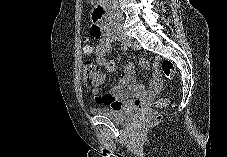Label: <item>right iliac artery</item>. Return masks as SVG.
<instances>
[{"mask_svg":"<svg viewBox=\"0 0 227 157\" xmlns=\"http://www.w3.org/2000/svg\"><path fill=\"white\" fill-rule=\"evenodd\" d=\"M113 34V33H112ZM113 41H118V36H116L115 34L113 35ZM121 42V41H120ZM122 49L123 50H126L127 49V46L126 45H123L122 46Z\"/></svg>","mask_w":227,"mask_h":157,"instance_id":"1","label":"right iliac artery"}]
</instances>
